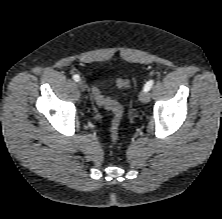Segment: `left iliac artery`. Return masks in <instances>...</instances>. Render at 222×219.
<instances>
[{
  "label": "left iliac artery",
  "instance_id": "44dca946",
  "mask_svg": "<svg viewBox=\"0 0 222 219\" xmlns=\"http://www.w3.org/2000/svg\"><path fill=\"white\" fill-rule=\"evenodd\" d=\"M153 83H154L153 80H149V81L145 84L144 90H145V91H149V90L151 89Z\"/></svg>",
  "mask_w": 222,
  "mask_h": 219
}]
</instances>
